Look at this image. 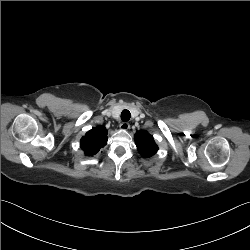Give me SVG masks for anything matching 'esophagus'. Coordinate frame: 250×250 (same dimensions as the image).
Returning a JSON list of instances; mask_svg holds the SVG:
<instances>
[{"label": "esophagus", "instance_id": "34e87169", "mask_svg": "<svg viewBox=\"0 0 250 250\" xmlns=\"http://www.w3.org/2000/svg\"><path fill=\"white\" fill-rule=\"evenodd\" d=\"M119 128H120L121 130H128V129L130 128V125H129V123H127V122H122V123L119 125Z\"/></svg>", "mask_w": 250, "mask_h": 250}]
</instances>
